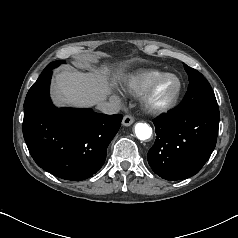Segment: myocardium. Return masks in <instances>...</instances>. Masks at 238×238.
I'll list each match as a JSON object with an SVG mask.
<instances>
[{
  "instance_id": "f54148a6",
  "label": "myocardium",
  "mask_w": 238,
  "mask_h": 238,
  "mask_svg": "<svg viewBox=\"0 0 238 238\" xmlns=\"http://www.w3.org/2000/svg\"><path fill=\"white\" fill-rule=\"evenodd\" d=\"M168 77H173L177 80L178 86L174 94L166 101H156L154 94L159 83ZM183 90V82L175 73H163L155 78L146 90L142 93L140 103L143 110L152 115H160L172 110L178 103Z\"/></svg>"
}]
</instances>
